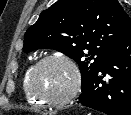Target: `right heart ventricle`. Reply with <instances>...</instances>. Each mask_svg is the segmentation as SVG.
Wrapping results in <instances>:
<instances>
[{"label": "right heart ventricle", "instance_id": "obj_1", "mask_svg": "<svg viewBox=\"0 0 131 115\" xmlns=\"http://www.w3.org/2000/svg\"><path fill=\"white\" fill-rule=\"evenodd\" d=\"M32 67H33V65H30L25 70V72L22 76V80H21V89H22V92L24 94L26 101L30 105L35 106V107H40L42 105V103L30 93L29 88H28V76H29V73H30Z\"/></svg>", "mask_w": 131, "mask_h": 115}]
</instances>
